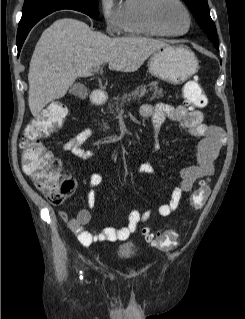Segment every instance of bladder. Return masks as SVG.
Masks as SVG:
<instances>
[{"label": "bladder", "instance_id": "obj_1", "mask_svg": "<svg viewBox=\"0 0 245 319\" xmlns=\"http://www.w3.org/2000/svg\"><path fill=\"white\" fill-rule=\"evenodd\" d=\"M137 248L134 242L125 241L116 248V255L121 259H130L136 254Z\"/></svg>", "mask_w": 245, "mask_h": 319}]
</instances>
